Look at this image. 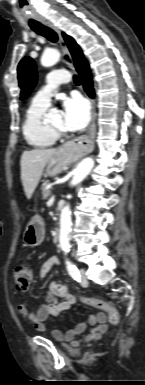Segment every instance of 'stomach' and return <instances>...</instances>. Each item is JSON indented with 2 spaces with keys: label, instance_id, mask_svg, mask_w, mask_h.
Listing matches in <instances>:
<instances>
[{
  "label": "stomach",
  "instance_id": "obj_1",
  "mask_svg": "<svg viewBox=\"0 0 145 385\" xmlns=\"http://www.w3.org/2000/svg\"><path fill=\"white\" fill-rule=\"evenodd\" d=\"M74 161L75 154L69 151L66 146H62L47 162L44 176L53 177L65 170ZM44 237L43 221L38 216L32 217L24 231V242L30 247H35L43 242Z\"/></svg>",
  "mask_w": 145,
  "mask_h": 385
}]
</instances>
